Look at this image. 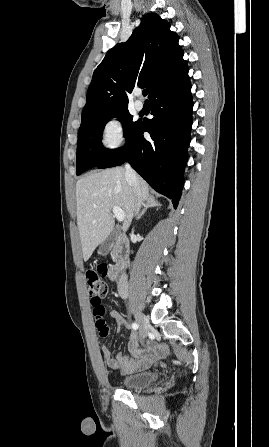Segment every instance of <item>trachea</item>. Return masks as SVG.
<instances>
[{"label": "trachea", "mask_w": 269, "mask_h": 447, "mask_svg": "<svg viewBox=\"0 0 269 447\" xmlns=\"http://www.w3.org/2000/svg\"><path fill=\"white\" fill-rule=\"evenodd\" d=\"M147 94H148V91H147V90H143V95H144V97H145Z\"/></svg>", "instance_id": "1"}]
</instances>
